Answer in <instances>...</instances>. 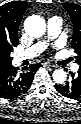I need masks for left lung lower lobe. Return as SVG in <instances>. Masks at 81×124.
I'll use <instances>...</instances> for the list:
<instances>
[{"mask_svg": "<svg viewBox=\"0 0 81 124\" xmlns=\"http://www.w3.org/2000/svg\"><path fill=\"white\" fill-rule=\"evenodd\" d=\"M71 79L66 84H56L55 89L63 96L70 99L81 98V70L77 75L71 74Z\"/></svg>", "mask_w": 81, "mask_h": 124, "instance_id": "1", "label": "left lung lower lobe"}]
</instances>
